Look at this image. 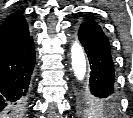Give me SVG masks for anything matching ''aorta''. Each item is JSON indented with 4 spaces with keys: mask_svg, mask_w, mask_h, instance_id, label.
Returning <instances> with one entry per match:
<instances>
[{
    "mask_svg": "<svg viewBox=\"0 0 133 118\" xmlns=\"http://www.w3.org/2000/svg\"><path fill=\"white\" fill-rule=\"evenodd\" d=\"M71 65L75 78L79 82H84L87 73L86 58L78 42H74L71 46Z\"/></svg>",
    "mask_w": 133,
    "mask_h": 118,
    "instance_id": "762f6f07",
    "label": "aorta"
}]
</instances>
